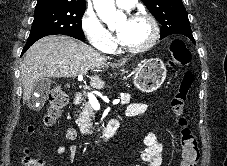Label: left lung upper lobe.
<instances>
[{
  "instance_id": "1",
  "label": "left lung upper lobe",
  "mask_w": 227,
  "mask_h": 166,
  "mask_svg": "<svg viewBox=\"0 0 227 166\" xmlns=\"http://www.w3.org/2000/svg\"><path fill=\"white\" fill-rule=\"evenodd\" d=\"M142 2L162 25L160 39L172 34L193 37L182 0H142Z\"/></svg>"
}]
</instances>
